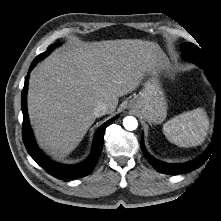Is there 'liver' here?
Segmentation results:
<instances>
[{
  "instance_id": "6515ba94",
  "label": "liver",
  "mask_w": 221,
  "mask_h": 221,
  "mask_svg": "<svg viewBox=\"0 0 221 221\" xmlns=\"http://www.w3.org/2000/svg\"><path fill=\"white\" fill-rule=\"evenodd\" d=\"M161 65L159 46L137 39L79 42L55 51L29 79L28 113L40 147L55 158L68 155L94 123L99 103L114 113L118 97Z\"/></svg>"
}]
</instances>
